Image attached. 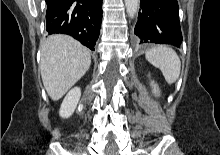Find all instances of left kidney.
I'll return each mask as SVG.
<instances>
[{
    "mask_svg": "<svg viewBox=\"0 0 220 155\" xmlns=\"http://www.w3.org/2000/svg\"><path fill=\"white\" fill-rule=\"evenodd\" d=\"M151 86H152L153 93H154L156 96H159V95H160V91H159L158 85L155 84L154 81H152V82H151Z\"/></svg>",
    "mask_w": 220,
    "mask_h": 155,
    "instance_id": "1",
    "label": "left kidney"
}]
</instances>
